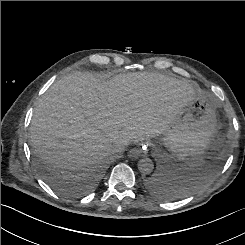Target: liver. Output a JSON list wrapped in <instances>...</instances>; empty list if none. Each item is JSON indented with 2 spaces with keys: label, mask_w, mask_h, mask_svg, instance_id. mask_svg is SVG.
I'll use <instances>...</instances> for the list:
<instances>
[{
  "label": "liver",
  "mask_w": 245,
  "mask_h": 245,
  "mask_svg": "<svg viewBox=\"0 0 245 245\" xmlns=\"http://www.w3.org/2000/svg\"><path fill=\"white\" fill-rule=\"evenodd\" d=\"M196 95L195 84L158 73H127L104 81L75 72L41 97L30 142L48 164L83 168L113 154L119 141L161 135Z\"/></svg>",
  "instance_id": "liver-1"
}]
</instances>
